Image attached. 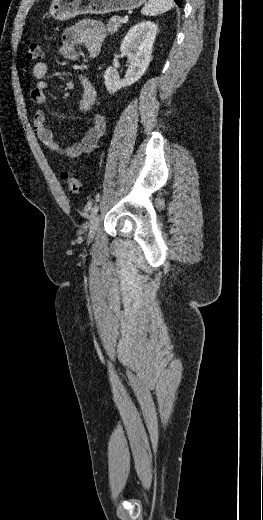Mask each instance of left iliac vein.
<instances>
[{"instance_id":"left-iliac-vein-1","label":"left iliac vein","mask_w":263,"mask_h":520,"mask_svg":"<svg viewBox=\"0 0 263 520\" xmlns=\"http://www.w3.org/2000/svg\"><path fill=\"white\" fill-rule=\"evenodd\" d=\"M98 227H99V216L96 215L91 220L90 229H89V240H91L95 236V234L98 230Z\"/></svg>"}]
</instances>
